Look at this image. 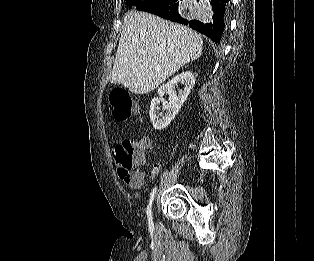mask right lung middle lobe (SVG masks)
Here are the masks:
<instances>
[{"label":"right lung middle lobe","mask_w":314,"mask_h":261,"mask_svg":"<svg viewBox=\"0 0 314 261\" xmlns=\"http://www.w3.org/2000/svg\"><path fill=\"white\" fill-rule=\"evenodd\" d=\"M164 0H126L129 7L135 6L137 10L147 11L148 9L160 4Z\"/></svg>","instance_id":"right-lung-middle-lobe-1"}]
</instances>
